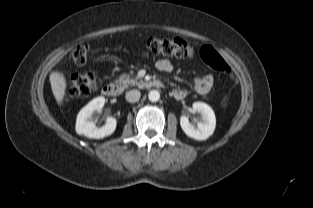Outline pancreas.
I'll return each instance as SVG.
<instances>
[{
	"label": "pancreas",
	"instance_id": "pancreas-1",
	"mask_svg": "<svg viewBox=\"0 0 313 208\" xmlns=\"http://www.w3.org/2000/svg\"><path fill=\"white\" fill-rule=\"evenodd\" d=\"M138 77H136L135 79L130 78V76L128 74H122L119 79L117 80V82L120 85H123L124 88H127L129 85L130 86H135V85H139L140 83L138 82Z\"/></svg>",
	"mask_w": 313,
	"mask_h": 208
}]
</instances>
